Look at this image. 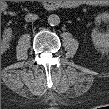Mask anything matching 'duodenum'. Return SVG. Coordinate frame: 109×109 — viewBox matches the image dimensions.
Returning <instances> with one entry per match:
<instances>
[{
    "mask_svg": "<svg viewBox=\"0 0 109 109\" xmlns=\"http://www.w3.org/2000/svg\"><path fill=\"white\" fill-rule=\"evenodd\" d=\"M41 7L45 8V9H52V8H57L60 7L61 5H57L55 2L52 1H44L42 3H40ZM68 7H75L76 4L75 3H68L67 4Z\"/></svg>",
    "mask_w": 109,
    "mask_h": 109,
    "instance_id": "1",
    "label": "duodenum"
}]
</instances>
